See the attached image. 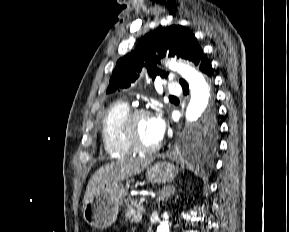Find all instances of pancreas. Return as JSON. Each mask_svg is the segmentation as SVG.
Here are the masks:
<instances>
[{
  "instance_id": "cf45deb5",
  "label": "pancreas",
  "mask_w": 289,
  "mask_h": 232,
  "mask_svg": "<svg viewBox=\"0 0 289 232\" xmlns=\"http://www.w3.org/2000/svg\"><path fill=\"white\" fill-rule=\"evenodd\" d=\"M143 212V203L138 202L135 199H130L125 207V219L129 220L131 223H139L142 220Z\"/></svg>"
}]
</instances>
